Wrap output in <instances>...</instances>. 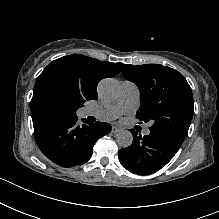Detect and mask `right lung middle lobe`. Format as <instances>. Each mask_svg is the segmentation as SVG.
<instances>
[{"instance_id":"1","label":"right lung middle lobe","mask_w":219,"mask_h":219,"mask_svg":"<svg viewBox=\"0 0 219 219\" xmlns=\"http://www.w3.org/2000/svg\"><path fill=\"white\" fill-rule=\"evenodd\" d=\"M83 103L71 89L61 84H49L38 94L35 107L37 110L53 111L64 116H70L75 115L77 109Z\"/></svg>"}]
</instances>
